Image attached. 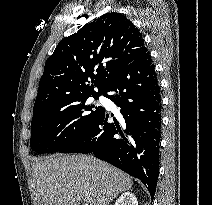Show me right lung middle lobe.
<instances>
[{"mask_svg":"<svg viewBox=\"0 0 212 205\" xmlns=\"http://www.w3.org/2000/svg\"><path fill=\"white\" fill-rule=\"evenodd\" d=\"M102 93L74 102L33 111L30 146L43 154L58 152L85 132L103 111V107L90 105V97L98 99Z\"/></svg>","mask_w":212,"mask_h":205,"instance_id":"dd1d6c3e","label":"right lung middle lobe"}]
</instances>
